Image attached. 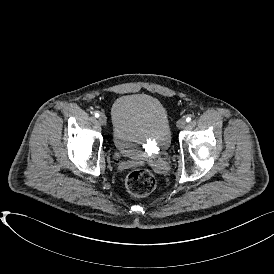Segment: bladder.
Returning <instances> with one entry per match:
<instances>
[{
	"mask_svg": "<svg viewBox=\"0 0 274 274\" xmlns=\"http://www.w3.org/2000/svg\"><path fill=\"white\" fill-rule=\"evenodd\" d=\"M112 141L118 153L130 159L154 158L166 152L171 128L163 104L146 94H128L113 104Z\"/></svg>",
	"mask_w": 274,
	"mask_h": 274,
	"instance_id": "31cf9c89",
	"label": "bladder"
}]
</instances>
